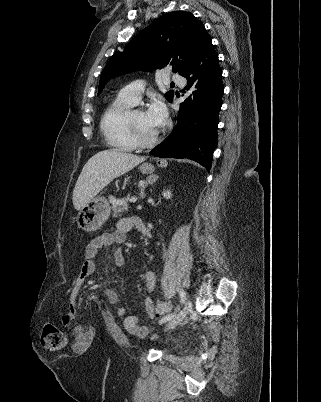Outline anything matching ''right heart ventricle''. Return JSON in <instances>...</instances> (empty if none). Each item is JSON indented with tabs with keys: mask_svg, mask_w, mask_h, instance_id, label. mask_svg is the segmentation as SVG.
Returning a JSON list of instances; mask_svg holds the SVG:
<instances>
[{
	"mask_svg": "<svg viewBox=\"0 0 321 402\" xmlns=\"http://www.w3.org/2000/svg\"><path fill=\"white\" fill-rule=\"evenodd\" d=\"M133 104L115 98L104 110L100 130L109 147L119 151H133L137 148L126 128V115Z\"/></svg>",
	"mask_w": 321,
	"mask_h": 402,
	"instance_id": "obj_1",
	"label": "right heart ventricle"
}]
</instances>
